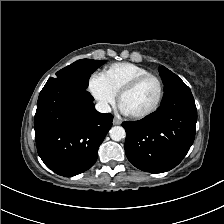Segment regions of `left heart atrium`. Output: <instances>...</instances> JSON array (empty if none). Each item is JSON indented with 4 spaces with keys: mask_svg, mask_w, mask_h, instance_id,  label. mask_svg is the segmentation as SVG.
Instances as JSON below:
<instances>
[{
    "mask_svg": "<svg viewBox=\"0 0 224 224\" xmlns=\"http://www.w3.org/2000/svg\"><path fill=\"white\" fill-rule=\"evenodd\" d=\"M119 109H120L121 113H123V114H127V115H128V112H127V111L125 110V108L122 107L121 105H119Z\"/></svg>",
    "mask_w": 224,
    "mask_h": 224,
    "instance_id": "left-heart-atrium-1",
    "label": "left heart atrium"
}]
</instances>
